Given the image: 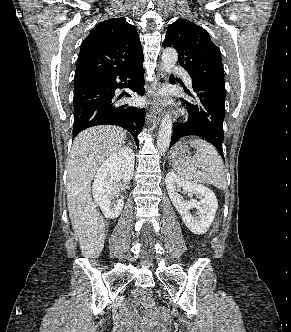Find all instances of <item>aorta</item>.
Segmentation results:
<instances>
[{
  "label": "aorta",
  "mask_w": 291,
  "mask_h": 332,
  "mask_svg": "<svg viewBox=\"0 0 291 332\" xmlns=\"http://www.w3.org/2000/svg\"><path fill=\"white\" fill-rule=\"evenodd\" d=\"M178 60V53L173 48H166L162 54L163 70L170 73ZM172 119L169 113L162 118L157 137V148L160 152H166L171 141Z\"/></svg>",
  "instance_id": "aorta-1"
}]
</instances>
